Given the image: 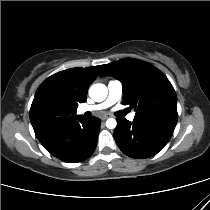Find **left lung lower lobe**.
Wrapping results in <instances>:
<instances>
[{
    "instance_id": "0a47b994",
    "label": "left lung lower lobe",
    "mask_w": 210,
    "mask_h": 210,
    "mask_svg": "<svg viewBox=\"0 0 210 210\" xmlns=\"http://www.w3.org/2000/svg\"><path fill=\"white\" fill-rule=\"evenodd\" d=\"M175 125L154 120L117 118L114 131L115 141L120 150L132 158H148L157 154L169 141Z\"/></svg>"
}]
</instances>
